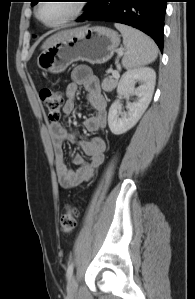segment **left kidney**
<instances>
[{
	"mask_svg": "<svg viewBox=\"0 0 195 299\" xmlns=\"http://www.w3.org/2000/svg\"><path fill=\"white\" fill-rule=\"evenodd\" d=\"M140 86L135 88V83ZM156 82V73L150 67H141L125 72L117 87L118 95L132 94L137 100L126 105L127 112H121V103L116 100L109 108L108 125L114 135L130 130L139 121L151 102Z\"/></svg>",
	"mask_w": 195,
	"mask_h": 299,
	"instance_id": "1",
	"label": "left kidney"
}]
</instances>
